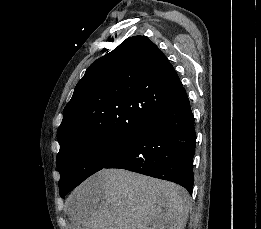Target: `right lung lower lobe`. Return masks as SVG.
I'll return each mask as SVG.
<instances>
[{
    "instance_id": "1",
    "label": "right lung lower lobe",
    "mask_w": 261,
    "mask_h": 229,
    "mask_svg": "<svg viewBox=\"0 0 261 229\" xmlns=\"http://www.w3.org/2000/svg\"><path fill=\"white\" fill-rule=\"evenodd\" d=\"M196 148L194 116L186 91L171 102L133 138L129 147L104 168H120L193 190Z\"/></svg>"
}]
</instances>
